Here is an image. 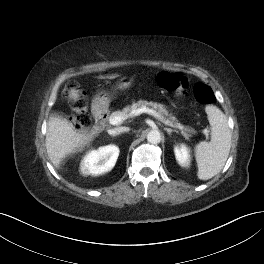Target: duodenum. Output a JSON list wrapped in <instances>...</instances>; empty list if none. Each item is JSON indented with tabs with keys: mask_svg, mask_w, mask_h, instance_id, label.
Returning a JSON list of instances; mask_svg holds the SVG:
<instances>
[{
	"mask_svg": "<svg viewBox=\"0 0 264 264\" xmlns=\"http://www.w3.org/2000/svg\"><path fill=\"white\" fill-rule=\"evenodd\" d=\"M92 113L95 119L94 127L100 129L103 126L105 120V110L99 103L95 104L92 109Z\"/></svg>",
	"mask_w": 264,
	"mask_h": 264,
	"instance_id": "410a0bca",
	"label": "duodenum"
}]
</instances>
